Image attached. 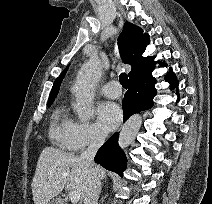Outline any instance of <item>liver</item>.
Listing matches in <instances>:
<instances>
[{"label":"liver","mask_w":212,"mask_h":204,"mask_svg":"<svg viewBox=\"0 0 212 204\" xmlns=\"http://www.w3.org/2000/svg\"><path fill=\"white\" fill-rule=\"evenodd\" d=\"M96 169L99 179H103L106 170L100 166ZM87 173V166L80 157L54 147H45L39 156L31 185L34 204H47L64 188L78 191L83 198Z\"/></svg>","instance_id":"6515ba94"}]
</instances>
